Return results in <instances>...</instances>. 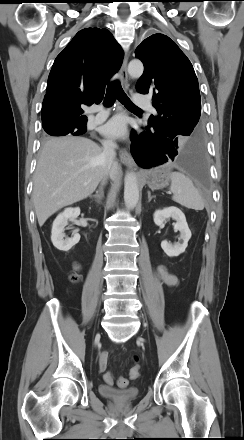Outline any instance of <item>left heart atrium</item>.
<instances>
[{
	"mask_svg": "<svg viewBox=\"0 0 244 440\" xmlns=\"http://www.w3.org/2000/svg\"><path fill=\"white\" fill-rule=\"evenodd\" d=\"M101 133L110 139H122L127 135V121L123 115H116L101 126Z\"/></svg>",
	"mask_w": 244,
	"mask_h": 440,
	"instance_id": "1",
	"label": "left heart atrium"
}]
</instances>
